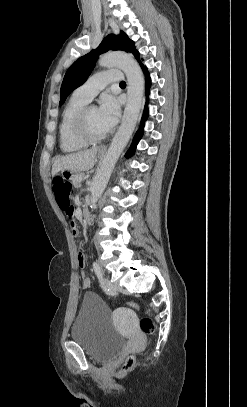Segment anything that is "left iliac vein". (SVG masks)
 Listing matches in <instances>:
<instances>
[{
  "label": "left iliac vein",
  "mask_w": 247,
  "mask_h": 407,
  "mask_svg": "<svg viewBox=\"0 0 247 407\" xmlns=\"http://www.w3.org/2000/svg\"><path fill=\"white\" fill-rule=\"evenodd\" d=\"M103 283L108 291L112 293H117L120 290V286L118 283L111 282L109 279H104Z\"/></svg>",
  "instance_id": "4c4485c4"
}]
</instances>
